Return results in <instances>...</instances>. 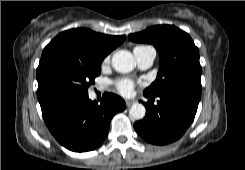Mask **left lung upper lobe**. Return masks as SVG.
Returning <instances> with one entry per match:
<instances>
[{
  "instance_id": "5c2ea615",
  "label": "left lung upper lobe",
  "mask_w": 245,
  "mask_h": 170,
  "mask_svg": "<svg viewBox=\"0 0 245 170\" xmlns=\"http://www.w3.org/2000/svg\"><path fill=\"white\" fill-rule=\"evenodd\" d=\"M133 42L153 44L160 55L157 78L145 94L158 96L167 91L182 90L200 96L201 65L199 51L186 32L171 25H158L130 34Z\"/></svg>"
}]
</instances>
